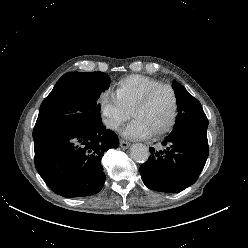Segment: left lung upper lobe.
I'll return each instance as SVG.
<instances>
[{
    "instance_id": "5c2ea615",
    "label": "left lung upper lobe",
    "mask_w": 248,
    "mask_h": 248,
    "mask_svg": "<svg viewBox=\"0 0 248 248\" xmlns=\"http://www.w3.org/2000/svg\"><path fill=\"white\" fill-rule=\"evenodd\" d=\"M178 115L173 131L182 128H204L207 130L208 120L200 102L176 81L173 82Z\"/></svg>"
}]
</instances>
